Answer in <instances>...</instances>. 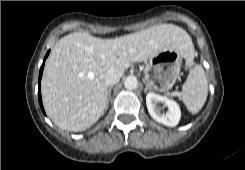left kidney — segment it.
I'll return each mask as SVG.
<instances>
[{
	"label": "left kidney",
	"mask_w": 245,
	"mask_h": 170,
	"mask_svg": "<svg viewBox=\"0 0 245 170\" xmlns=\"http://www.w3.org/2000/svg\"><path fill=\"white\" fill-rule=\"evenodd\" d=\"M161 102L168 107L166 113H161L158 103ZM146 105L150 116L157 122L169 127L176 126L181 118L180 107L174 100L155 93H148L146 96Z\"/></svg>",
	"instance_id": "obj_1"
}]
</instances>
